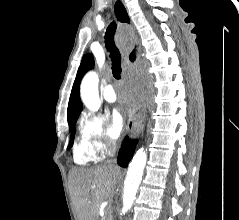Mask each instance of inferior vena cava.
Instances as JSON below:
<instances>
[{"instance_id":"obj_1","label":"inferior vena cava","mask_w":239,"mask_h":220,"mask_svg":"<svg viewBox=\"0 0 239 220\" xmlns=\"http://www.w3.org/2000/svg\"><path fill=\"white\" fill-rule=\"evenodd\" d=\"M117 146L114 141H107L106 143V152L110 157H113L115 155Z\"/></svg>"}]
</instances>
